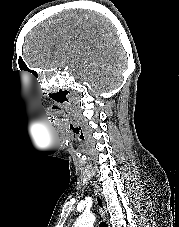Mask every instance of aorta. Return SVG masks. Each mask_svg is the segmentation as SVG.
Returning a JSON list of instances; mask_svg holds the SVG:
<instances>
[{"label": "aorta", "instance_id": "obj_1", "mask_svg": "<svg viewBox=\"0 0 179 227\" xmlns=\"http://www.w3.org/2000/svg\"><path fill=\"white\" fill-rule=\"evenodd\" d=\"M95 220L94 214L83 213L77 218L74 227H93Z\"/></svg>", "mask_w": 179, "mask_h": 227}]
</instances>
